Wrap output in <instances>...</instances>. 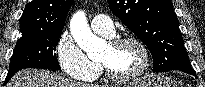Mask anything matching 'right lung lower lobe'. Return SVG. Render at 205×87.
<instances>
[{
	"mask_svg": "<svg viewBox=\"0 0 205 87\" xmlns=\"http://www.w3.org/2000/svg\"><path fill=\"white\" fill-rule=\"evenodd\" d=\"M19 70H14L12 72H8V75L6 77L5 83H7L9 81V79Z\"/></svg>",
	"mask_w": 205,
	"mask_h": 87,
	"instance_id": "1",
	"label": "right lung lower lobe"
}]
</instances>
